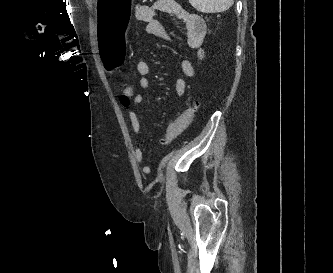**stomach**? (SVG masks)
<instances>
[{
	"label": "stomach",
	"mask_w": 333,
	"mask_h": 273,
	"mask_svg": "<svg viewBox=\"0 0 333 273\" xmlns=\"http://www.w3.org/2000/svg\"><path fill=\"white\" fill-rule=\"evenodd\" d=\"M133 0H96L94 14L97 38H126L133 28ZM102 65H127L126 39H97Z\"/></svg>",
	"instance_id": "stomach-1"
}]
</instances>
